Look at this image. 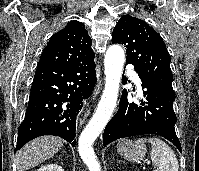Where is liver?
I'll use <instances>...</instances> for the list:
<instances>
[{
	"label": "liver",
	"instance_id": "liver-1",
	"mask_svg": "<svg viewBox=\"0 0 199 171\" xmlns=\"http://www.w3.org/2000/svg\"><path fill=\"white\" fill-rule=\"evenodd\" d=\"M63 139L41 136L24 145L16 154L17 171H26L51 158L63 146Z\"/></svg>",
	"mask_w": 199,
	"mask_h": 171
}]
</instances>
